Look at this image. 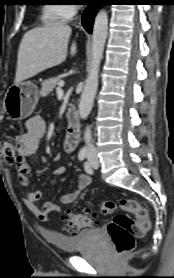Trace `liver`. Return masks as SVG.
<instances>
[{
	"label": "liver",
	"instance_id": "liver-1",
	"mask_svg": "<svg viewBox=\"0 0 174 278\" xmlns=\"http://www.w3.org/2000/svg\"><path fill=\"white\" fill-rule=\"evenodd\" d=\"M71 32L70 26L63 24L36 27L27 31L19 45L15 83L64 62ZM75 54L76 43L73 42L71 55Z\"/></svg>",
	"mask_w": 174,
	"mask_h": 278
}]
</instances>
